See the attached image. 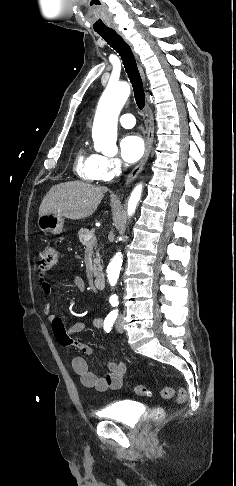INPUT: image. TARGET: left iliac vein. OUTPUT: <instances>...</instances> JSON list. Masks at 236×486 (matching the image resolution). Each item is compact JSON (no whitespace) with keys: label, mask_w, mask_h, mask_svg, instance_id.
Instances as JSON below:
<instances>
[{"label":"left iliac vein","mask_w":236,"mask_h":486,"mask_svg":"<svg viewBox=\"0 0 236 486\" xmlns=\"http://www.w3.org/2000/svg\"><path fill=\"white\" fill-rule=\"evenodd\" d=\"M115 329L119 332V333H122L124 331L123 329V318L122 316L120 315L118 317V319L116 320V323H115Z\"/></svg>","instance_id":"1"}]
</instances>
